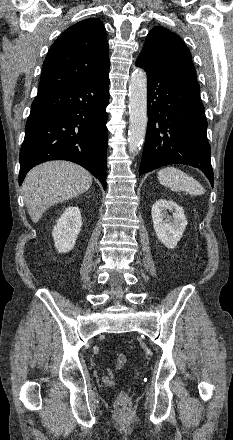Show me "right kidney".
Here are the masks:
<instances>
[{"mask_svg": "<svg viewBox=\"0 0 233 440\" xmlns=\"http://www.w3.org/2000/svg\"><path fill=\"white\" fill-rule=\"evenodd\" d=\"M81 227L80 209L78 207L66 208L52 231L55 247L59 253H66L74 248Z\"/></svg>", "mask_w": 233, "mask_h": 440, "instance_id": "obj_1", "label": "right kidney"}]
</instances>
